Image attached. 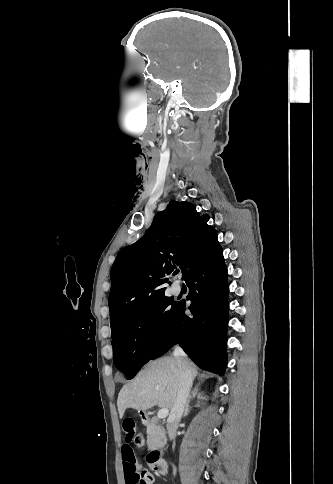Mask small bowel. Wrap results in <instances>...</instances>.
Returning a JSON list of instances; mask_svg holds the SVG:
<instances>
[{
  "label": "small bowel",
  "mask_w": 333,
  "mask_h": 484,
  "mask_svg": "<svg viewBox=\"0 0 333 484\" xmlns=\"http://www.w3.org/2000/svg\"><path fill=\"white\" fill-rule=\"evenodd\" d=\"M122 429L125 434V443L122 446V464L126 484H154L153 475L141 468L131 445L137 434L135 420L129 416L125 417Z\"/></svg>",
  "instance_id": "c3829d8e"
}]
</instances>
